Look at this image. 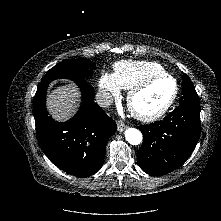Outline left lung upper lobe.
I'll return each mask as SVG.
<instances>
[{"instance_id": "5c2ea615", "label": "left lung upper lobe", "mask_w": 221, "mask_h": 221, "mask_svg": "<svg viewBox=\"0 0 221 221\" xmlns=\"http://www.w3.org/2000/svg\"><path fill=\"white\" fill-rule=\"evenodd\" d=\"M181 106H200L199 97L188 75L183 76Z\"/></svg>"}]
</instances>
